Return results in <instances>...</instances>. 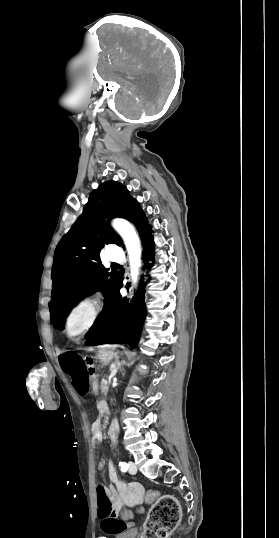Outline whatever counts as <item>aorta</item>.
I'll use <instances>...</instances> for the list:
<instances>
[{
  "instance_id": "1",
  "label": "aorta",
  "mask_w": 279,
  "mask_h": 538,
  "mask_svg": "<svg viewBox=\"0 0 279 538\" xmlns=\"http://www.w3.org/2000/svg\"><path fill=\"white\" fill-rule=\"evenodd\" d=\"M112 226L120 234L124 241L129 255L132 284H136L139 267L141 266V246L139 237L134 227L124 219L113 220Z\"/></svg>"
}]
</instances>
